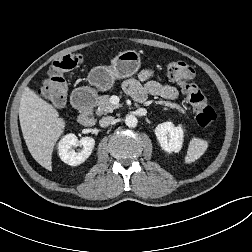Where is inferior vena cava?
I'll return each instance as SVG.
<instances>
[{"mask_svg": "<svg viewBox=\"0 0 252 252\" xmlns=\"http://www.w3.org/2000/svg\"><path fill=\"white\" fill-rule=\"evenodd\" d=\"M114 121V117L107 116L100 119L99 124L101 127H107Z\"/></svg>", "mask_w": 252, "mask_h": 252, "instance_id": "obj_1", "label": "inferior vena cava"}]
</instances>
